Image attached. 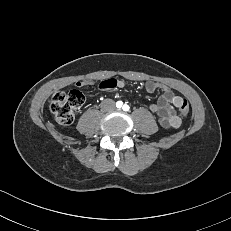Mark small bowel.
<instances>
[{
	"label": "small bowel",
	"instance_id": "1",
	"mask_svg": "<svg viewBox=\"0 0 231 231\" xmlns=\"http://www.w3.org/2000/svg\"><path fill=\"white\" fill-rule=\"evenodd\" d=\"M86 85L85 82H78L77 86L82 87ZM125 83L122 80L106 79L100 83V87L106 90L113 88H124ZM145 88L149 93H154L161 90L162 93L158 99L157 104H150L149 110L156 114L159 124L163 128H179L181 119L176 113L183 98L176 95L170 88L155 81H148Z\"/></svg>",
	"mask_w": 231,
	"mask_h": 231
}]
</instances>
